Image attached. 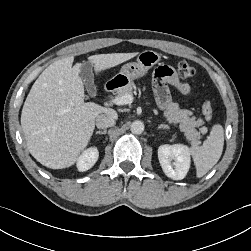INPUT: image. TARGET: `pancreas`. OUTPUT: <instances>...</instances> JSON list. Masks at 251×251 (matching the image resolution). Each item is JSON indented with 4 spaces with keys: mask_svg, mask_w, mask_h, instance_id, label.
I'll return each instance as SVG.
<instances>
[{
    "mask_svg": "<svg viewBox=\"0 0 251 251\" xmlns=\"http://www.w3.org/2000/svg\"><path fill=\"white\" fill-rule=\"evenodd\" d=\"M134 90V84L129 83L128 85L121 87L117 91L116 97H122L124 95H132ZM193 112L187 109H180L178 103L170 102L164 112L163 116L169 123L174 125H179L180 129L184 132L185 138L193 143L200 142L201 135L200 132L196 130V127L202 126L204 121L202 119H197L192 117Z\"/></svg>",
    "mask_w": 251,
    "mask_h": 251,
    "instance_id": "1",
    "label": "pancreas"
}]
</instances>
